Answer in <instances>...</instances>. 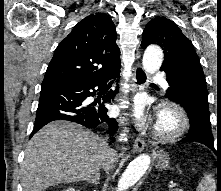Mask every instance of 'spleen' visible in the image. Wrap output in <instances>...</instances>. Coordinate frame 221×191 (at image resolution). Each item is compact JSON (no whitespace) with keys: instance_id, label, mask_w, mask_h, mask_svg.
Masks as SVG:
<instances>
[{"instance_id":"obj_1","label":"spleen","mask_w":221,"mask_h":191,"mask_svg":"<svg viewBox=\"0 0 221 191\" xmlns=\"http://www.w3.org/2000/svg\"><path fill=\"white\" fill-rule=\"evenodd\" d=\"M215 190H216V184L211 174L205 175L197 187V191H215Z\"/></svg>"}]
</instances>
